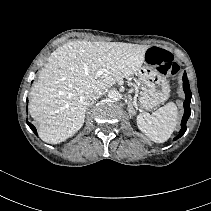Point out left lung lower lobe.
Returning <instances> with one entry per match:
<instances>
[{"instance_id": "left-lung-lower-lobe-1", "label": "left lung lower lobe", "mask_w": 211, "mask_h": 211, "mask_svg": "<svg viewBox=\"0 0 211 211\" xmlns=\"http://www.w3.org/2000/svg\"><path fill=\"white\" fill-rule=\"evenodd\" d=\"M183 89L185 92V101H184V115L182 118V122H181V130L179 132V135L177 137L174 138V140H177L178 138H180L186 131L187 127H186V122L190 116L191 113V109H190V102H191V91H190V87H189V81L186 75V72L183 75Z\"/></svg>"}]
</instances>
